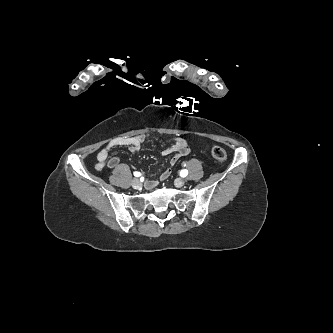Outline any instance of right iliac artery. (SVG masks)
Here are the masks:
<instances>
[{
    "instance_id": "obj_1",
    "label": "right iliac artery",
    "mask_w": 333,
    "mask_h": 333,
    "mask_svg": "<svg viewBox=\"0 0 333 333\" xmlns=\"http://www.w3.org/2000/svg\"><path fill=\"white\" fill-rule=\"evenodd\" d=\"M133 174H134L135 177H139L141 175V173L137 172V171H135Z\"/></svg>"
}]
</instances>
